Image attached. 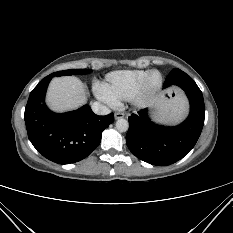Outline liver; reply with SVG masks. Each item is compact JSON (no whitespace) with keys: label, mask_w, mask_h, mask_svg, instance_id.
Instances as JSON below:
<instances>
[{"label":"liver","mask_w":233,"mask_h":233,"mask_svg":"<svg viewBox=\"0 0 233 233\" xmlns=\"http://www.w3.org/2000/svg\"><path fill=\"white\" fill-rule=\"evenodd\" d=\"M84 84L75 76H63L52 79L49 84L46 101L56 112L74 110L86 103Z\"/></svg>","instance_id":"obj_1"}]
</instances>
